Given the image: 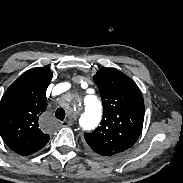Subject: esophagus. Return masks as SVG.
Segmentation results:
<instances>
[{"mask_svg":"<svg viewBox=\"0 0 183 183\" xmlns=\"http://www.w3.org/2000/svg\"><path fill=\"white\" fill-rule=\"evenodd\" d=\"M71 125H72L71 121H63V122H61V126L62 127H68V126H71Z\"/></svg>","mask_w":183,"mask_h":183,"instance_id":"34e87169","label":"esophagus"}]
</instances>
